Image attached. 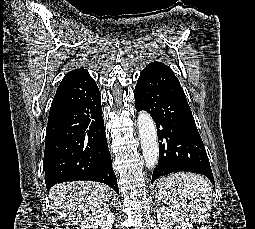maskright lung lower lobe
Returning <instances> with one entry per match:
<instances>
[{
    "label": "right lung lower lobe",
    "mask_w": 255,
    "mask_h": 229,
    "mask_svg": "<svg viewBox=\"0 0 255 229\" xmlns=\"http://www.w3.org/2000/svg\"><path fill=\"white\" fill-rule=\"evenodd\" d=\"M43 170L47 189L57 183L91 180L119 193L105 136L99 89L85 69L70 75L51 104Z\"/></svg>",
    "instance_id": "1"
}]
</instances>
